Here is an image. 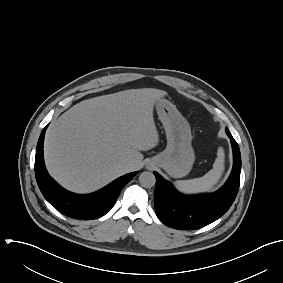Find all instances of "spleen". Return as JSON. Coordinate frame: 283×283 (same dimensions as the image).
<instances>
[{
  "label": "spleen",
  "instance_id": "obj_1",
  "mask_svg": "<svg viewBox=\"0 0 283 283\" xmlns=\"http://www.w3.org/2000/svg\"><path fill=\"white\" fill-rule=\"evenodd\" d=\"M224 172V150L219 148L213 169L203 177L175 182L178 191L184 194H197L210 191L220 180Z\"/></svg>",
  "mask_w": 283,
  "mask_h": 283
}]
</instances>
